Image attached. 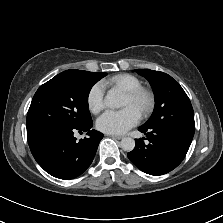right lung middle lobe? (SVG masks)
Masks as SVG:
<instances>
[{
  "label": "right lung middle lobe",
  "mask_w": 223,
  "mask_h": 223,
  "mask_svg": "<svg viewBox=\"0 0 223 223\" xmlns=\"http://www.w3.org/2000/svg\"><path fill=\"white\" fill-rule=\"evenodd\" d=\"M106 73L66 70L36 91L27 113V134L55 127H81L92 122L88 95Z\"/></svg>",
  "instance_id": "right-lung-middle-lobe-1"
}]
</instances>
